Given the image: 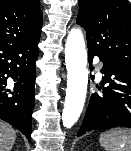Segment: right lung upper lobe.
<instances>
[{
	"mask_svg": "<svg viewBox=\"0 0 131 151\" xmlns=\"http://www.w3.org/2000/svg\"><path fill=\"white\" fill-rule=\"evenodd\" d=\"M42 18L39 0H0V45L39 40Z\"/></svg>",
	"mask_w": 131,
	"mask_h": 151,
	"instance_id": "cb5924a9",
	"label": "right lung upper lobe"
}]
</instances>
